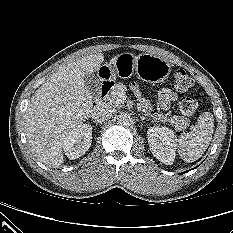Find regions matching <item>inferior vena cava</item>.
<instances>
[{
    "label": "inferior vena cava",
    "instance_id": "602c4592",
    "mask_svg": "<svg viewBox=\"0 0 233 233\" xmlns=\"http://www.w3.org/2000/svg\"><path fill=\"white\" fill-rule=\"evenodd\" d=\"M113 115V109L107 103H100L96 105L91 113V117L95 123H102L108 120Z\"/></svg>",
    "mask_w": 233,
    "mask_h": 233
}]
</instances>
